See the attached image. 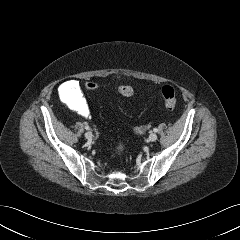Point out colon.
Returning <instances> with one entry per match:
<instances>
[{"label": "colon", "mask_w": 240, "mask_h": 240, "mask_svg": "<svg viewBox=\"0 0 240 240\" xmlns=\"http://www.w3.org/2000/svg\"><path fill=\"white\" fill-rule=\"evenodd\" d=\"M85 87L89 91H95L98 88V84L95 81H87L85 83ZM117 91L119 94L123 96H131L133 94V89L131 86L128 85H120L117 88ZM162 98L164 105L167 110H174L177 104L176 96H175V91L172 87L170 86H165L162 88ZM124 150V146L120 144L117 148L118 153H122Z\"/></svg>", "instance_id": "5ec220e1"}]
</instances>
